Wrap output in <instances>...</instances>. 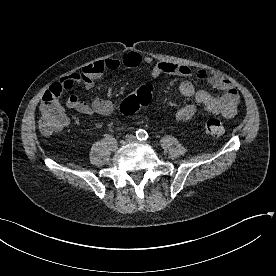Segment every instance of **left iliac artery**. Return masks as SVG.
<instances>
[{
    "label": "left iliac artery",
    "instance_id": "1",
    "mask_svg": "<svg viewBox=\"0 0 276 276\" xmlns=\"http://www.w3.org/2000/svg\"><path fill=\"white\" fill-rule=\"evenodd\" d=\"M136 136H137V139L140 140V141H144V140H147L148 139V133L143 130V129H140L136 132Z\"/></svg>",
    "mask_w": 276,
    "mask_h": 276
}]
</instances>
